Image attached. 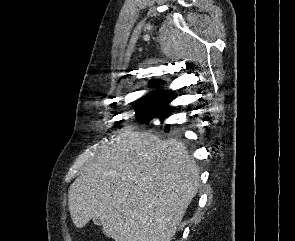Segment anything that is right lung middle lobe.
<instances>
[{
  "label": "right lung middle lobe",
  "instance_id": "obj_1",
  "mask_svg": "<svg viewBox=\"0 0 295 241\" xmlns=\"http://www.w3.org/2000/svg\"><path fill=\"white\" fill-rule=\"evenodd\" d=\"M136 114L135 117L137 119V121L141 122V123H147L148 120H150L151 118L158 116L161 120L165 119L167 117V115L164 114H157V113H151V112H146L140 109H135Z\"/></svg>",
  "mask_w": 295,
  "mask_h": 241
}]
</instances>
